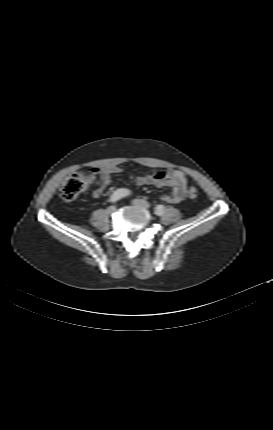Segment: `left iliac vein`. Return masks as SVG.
<instances>
[{
	"label": "left iliac vein",
	"instance_id": "left-iliac-vein-1",
	"mask_svg": "<svg viewBox=\"0 0 273 430\" xmlns=\"http://www.w3.org/2000/svg\"><path fill=\"white\" fill-rule=\"evenodd\" d=\"M132 203L136 206L143 207L145 209H148L150 207L149 203L142 199H134Z\"/></svg>",
	"mask_w": 273,
	"mask_h": 430
}]
</instances>
